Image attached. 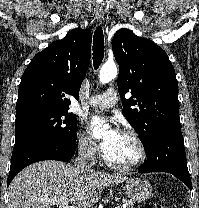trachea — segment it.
Here are the masks:
<instances>
[{
    "label": "trachea",
    "instance_id": "1",
    "mask_svg": "<svg viewBox=\"0 0 199 208\" xmlns=\"http://www.w3.org/2000/svg\"><path fill=\"white\" fill-rule=\"evenodd\" d=\"M104 57V35L103 30L99 26L93 36V66L97 70L102 63Z\"/></svg>",
    "mask_w": 199,
    "mask_h": 208
}]
</instances>
